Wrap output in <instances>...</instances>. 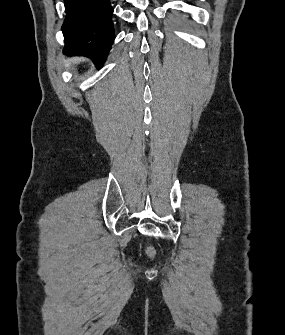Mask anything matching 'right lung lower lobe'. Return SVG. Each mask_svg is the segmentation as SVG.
<instances>
[{"mask_svg": "<svg viewBox=\"0 0 285 335\" xmlns=\"http://www.w3.org/2000/svg\"><path fill=\"white\" fill-rule=\"evenodd\" d=\"M64 3V53L89 57L101 67L114 40L110 0H64Z\"/></svg>", "mask_w": 285, "mask_h": 335, "instance_id": "obj_1", "label": "right lung lower lobe"}]
</instances>
